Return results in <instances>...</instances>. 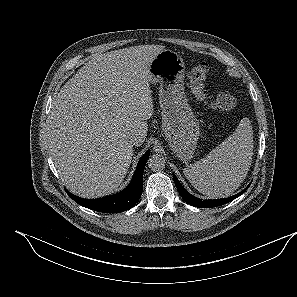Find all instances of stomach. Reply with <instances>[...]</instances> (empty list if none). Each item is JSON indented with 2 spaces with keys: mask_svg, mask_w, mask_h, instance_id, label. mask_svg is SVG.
Instances as JSON below:
<instances>
[{
  "mask_svg": "<svg viewBox=\"0 0 297 297\" xmlns=\"http://www.w3.org/2000/svg\"><path fill=\"white\" fill-rule=\"evenodd\" d=\"M148 71L149 82L159 84L165 138L175 155L186 162L197 147L200 128L184 93V61L176 52L164 49L152 60Z\"/></svg>",
  "mask_w": 297,
  "mask_h": 297,
  "instance_id": "obj_1",
  "label": "stomach"
}]
</instances>
